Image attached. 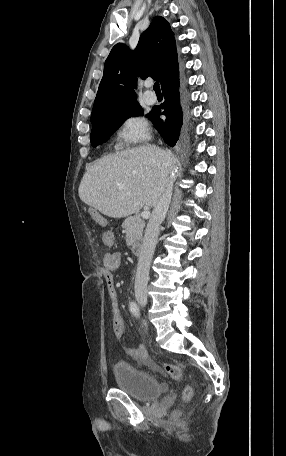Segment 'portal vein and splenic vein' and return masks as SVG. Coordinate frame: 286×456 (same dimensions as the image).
Here are the masks:
<instances>
[{"mask_svg":"<svg viewBox=\"0 0 286 456\" xmlns=\"http://www.w3.org/2000/svg\"><path fill=\"white\" fill-rule=\"evenodd\" d=\"M141 217L144 219H148L150 217V211L148 208L144 209V211L141 213Z\"/></svg>","mask_w":286,"mask_h":456,"instance_id":"portal-vein-and-splenic-vein-1","label":"portal vein and splenic vein"}]
</instances>
